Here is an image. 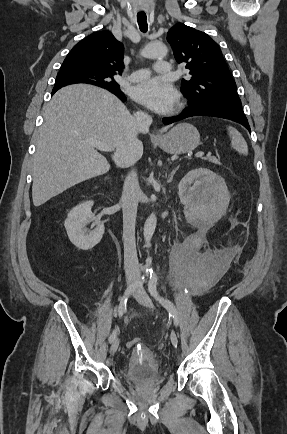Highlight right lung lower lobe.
Listing matches in <instances>:
<instances>
[{"label": "right lung lower lobe", "instance_id": "1", "mask_svg": "<svg viewBox=\"0 0 287 434\" xmlns=\"http://www.w3.org/2000/svg\"><path fill=\"white\" fill-rule=\"evenodd\" d=\"M55 92H52V95L54 94ZM113 94H115L120 100H122L123 102H125L126 101V97H125V95L123 94V92L122 91H120V92H112Z\"/></svg>", "mask_w": 287, "mask_h": 434}]
</instances>
